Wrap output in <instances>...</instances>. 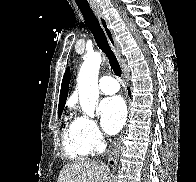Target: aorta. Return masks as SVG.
<instances>
[{
	"label": "aorta",
	"mask_w": 196,
	"mask_h": 182,
	"mask_svg": "<svg viewBox=\"0 0 196 182\" xmlns=\"http://www.w3.org/2000/svg\"><path fill=\"white\" fill-rule=\"evenodd\" d=\"M101 63L100 53L87 54L77 80L80 106L83 113L91 118L95 116L94 112L98 101V73Z\"/></svg>",
	"instance_id": "1"
}]
</instances>
